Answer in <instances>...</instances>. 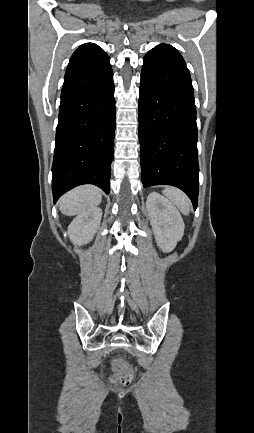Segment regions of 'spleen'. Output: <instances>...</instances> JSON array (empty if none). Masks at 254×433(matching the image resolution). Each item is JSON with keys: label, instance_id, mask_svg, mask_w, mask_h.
Segmentation results:
<instances>
[{"label": "spleen", "instance_id": "spleen-1", "mask_svg": "<svg viewBox=\"0 0 254 433\" xmlns=\"http://www.w3.org/2000/svg\"><path fill=\"white\" fill-rule=\"evenodd\" d=\"M163 194L177 206V208L184 214L188 215L190 211V202L187 196L180 190L174 187H168L163 190Z\"/></svg>", "mask_w": 254, "mask_h": 433}]
</instances>
